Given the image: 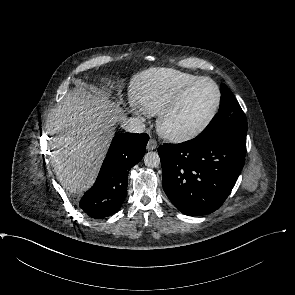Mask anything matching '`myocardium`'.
<instances>
[{"label": "myocardium", "mask_w": 295, "mask_h": 295, "mask_svg": "<svg viewBox=\"0 0 295 295\" xmlns=\"http://www.w3.org/2000/svg\"><path fill=\"white\" fill-rule=\"evenodd\" d=\"M201 81H208L210 82L216 89L217 92V99L214 105V108L209 115V117L197 128L190 132L182 133V134H175L171 133L166 129V120L169 115L176 110V108L181 104L185 96L188 92L199 82ZM222 102V93L219 85L210 77L207 76H199L196 79L192 80L188 84H186L183 88H181L177 94L170 100V102L158 113L157 119V126L159 132L168 140L175 142V143H185L195 138L199 137L203 134L214 122L216 119Z\"/></svg>", "instance_id": "f54148a6"}]
</instances>
